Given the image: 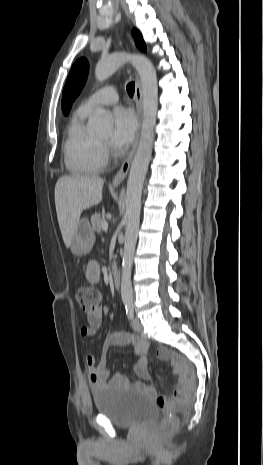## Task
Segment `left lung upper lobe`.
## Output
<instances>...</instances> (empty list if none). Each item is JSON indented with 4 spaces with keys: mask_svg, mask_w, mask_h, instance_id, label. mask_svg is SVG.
Wrapping results in <instances>:
<instances>
[{
    "mask_svg": "<svg viewBox=\"0 0 263 465\" xmlns=\"http://www.w3.org/2000/svg\"><path fill=\"white\" fill-rule=\"evenodd\" d=\"M132 35L135 39L136 46L140 50L146 51V45L141 33L134 28L132 30ZM88 68V61L85 58L77 60L71 68L62 94V111L64 115L69 114L73 101L80 94L87 79Z\"/></svg>",
    "mask_w": 263,
    "mask_h": 465,
    "instance_id": "obj_1",
    "label": "left lung upper lobe"
}]
</instances>
